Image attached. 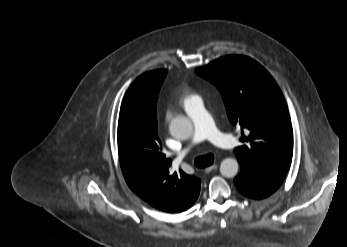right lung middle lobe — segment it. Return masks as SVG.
Returning <instances> with one entry per match:
<instances>
[{"label": "right lung middle lobe", "mask_w": 347, "mask_h": 247, "mask_svg": "<svg viewBox=\"0 0 347 247\" xmlns=\"http://www.w3.org/2000/svg\"><path fill=\"white\" fill-rule=\"evenodd\" d=\"M155 73H156L157 76H159V77L164 79L165 76H166L167 71L166 70H156Z\"/></svg>", "instance_id": "obj_1"}]
</instances>
